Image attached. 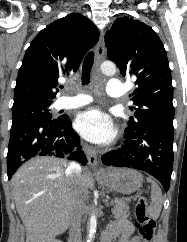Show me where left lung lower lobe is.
I'll use <instances>...</instances> for the list:
<instances>
[{
    "label": "left lung lower lobe",
    "mask_w": 187,
    "mask_h": 242,
    "mask_svg": "<svg viewBox=\"0 0 187 242\" xmlns=\"http://www.w3.org/2000/svg\"><path fill=\"white\" fill-rule=\"evenodd\" d=\"M124 145L102 156L105 165L148 172L168 190L173 167L174 131L151 130L127 135Z\"/></svg>",
    "instance_id": "obj_1"
}]
</instances>
